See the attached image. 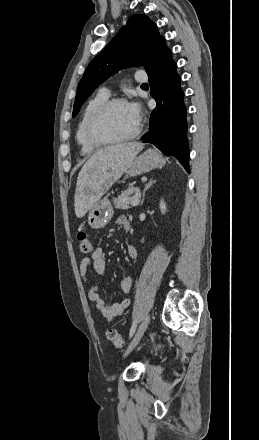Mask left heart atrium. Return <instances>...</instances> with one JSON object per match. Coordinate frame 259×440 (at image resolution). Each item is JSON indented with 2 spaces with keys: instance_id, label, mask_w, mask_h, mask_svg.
Masks as SVG:
<instances>
[{
  "instance_id": "obj_1",
  "label": "left heart atrium",
  "mask_w": 259,
  "mask_h": 440,
  "mask_svg": "<svg viewBox=\"0 0 259 440\" xmlns=\"http://www.w3.org/2000/svg\"><path fill=\"white\" fill-rule=\"evenodd\" d=\"M128 106H129V109H130L135 121L137 123H139L141 120V116H142L140 105L137 102H132V103H129Z\"/></svg>"
}]
</instances>
